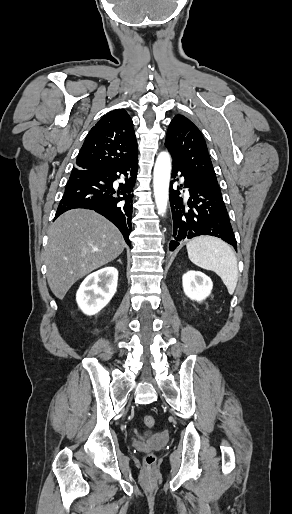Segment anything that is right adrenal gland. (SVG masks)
I'll return each instance as SVG.
<instances>
[{"label": "right adrenal gland", "mask_w": 292, "mask_h": 514, "mask_svg": "<svg viewBox=\"0 0 292 514\" xmlns=\"http://www.w3.org/2000/svg\"><path fill=\"white\" fill-rule=\"evenodd\" d=\"M117 262H120V264H122L121 260H117Z\"/></svg>", "instance_id": "1"}]
</instances>
